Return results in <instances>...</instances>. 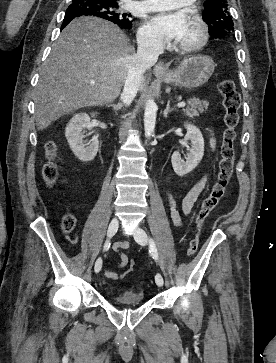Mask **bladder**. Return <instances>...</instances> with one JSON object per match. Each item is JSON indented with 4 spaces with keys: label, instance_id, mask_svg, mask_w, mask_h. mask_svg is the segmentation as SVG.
Masks as SVG:
<instances>
[{
    "label": "bladder",
    "instance_id": "1",
    "mask_svg": "<svg viewBox=\"0 0 276 363\" xmlns=\"http://www.w3.org/2000/svg\"><path fill=\"white\" fill-rule=\"evenodd\" d=\"M114 302L120 305L130 306L139 305L144 302V297L141 293L134 291H122L115 298Z\"/></svg>",
    "mask_w": 276,
    "mask_h": 363
}]
</instances>
